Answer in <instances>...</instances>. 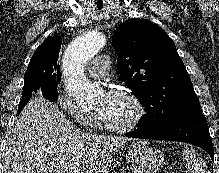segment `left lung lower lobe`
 Returning a JSON list of instances; mask_svg holds the SVG:
<instances>
[{
    "mask_svg": "<svg viewBox=\"0 0 219 173\" xmlns=\"http://www.w3.org/2000/svg\"><path fill=\"white\" fill-rule=\"evenodd\" d=\"M126 136L190 143L201 147L214 159L208 124L201 112L180 117L158 130L145 131L137 129L127 133Z\"/></svg>",
    "mask_w": 219,
    "mask_h": 173,
    "instance_id": "0a47b994",
    "label": "left lung lower lobe"
}]
</instances>
